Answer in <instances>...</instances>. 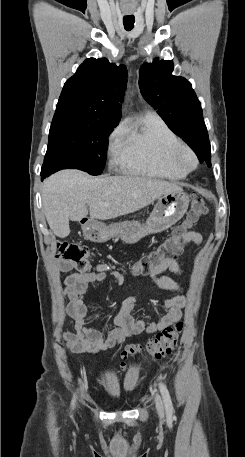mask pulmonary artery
Listing matches in <instances>:
<instances>
[{
  "label": "pulmonary artery",
  "instance_id": "1",
  "mask_svg": "<svg viewBox=\"0 0 245 457\" xmlns=\"http://www.w3.org/2000/svg\"><path fill=\"white\" fill-rule=\"evenodd\" d=\"M146 115H156L152 110H147Z\"/></svg>",
  "mask_w": 245,
  "mask_h": 457
}]
</instances>
